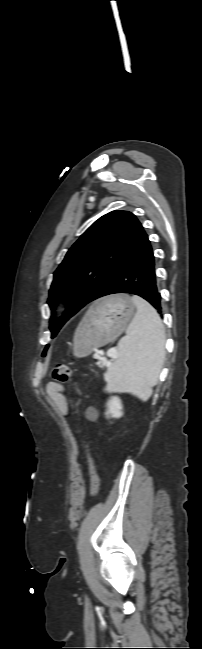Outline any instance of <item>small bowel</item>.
<instances>
[{
	"label": "small bowel",
	"mask_w": 202,
	"mask_h": 649,
	"mask_svg": "<svg viewBox=\"0 0 202 649\" xmlns=\"http://www.w3.org/2000/svg\"><path fill=\"white\" fill-rule=\"evenodd\" d=\"M47 394L53 405L63 414L67 412V400L61 384L50 382L46 388Z\"/></svg>",
	"instance_id": "obj_1"
}]
</instances>
